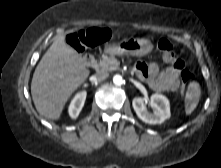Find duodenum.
I'll return each mask as SVG.
<instances>
[{
  "mask_svg": "<svg viewBox=\"0 0 221 168\" xmlns=\"http://www.w3.org/2000/svg\"><path fill=\"white\" fill-rule=\"evenodd\" d=\"M84 62L88 67H95L96 66V59L92 54H86L84 56Z\"/></svg>",
  "mask_w": 221,
  "mask_h": 168,
  "instance_id": "410a0bca",
  "label": "duodenum"
}]
</instances>
